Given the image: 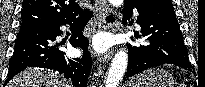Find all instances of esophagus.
Segmentation results:
<instances>
[{
  "instance_id": "obj_1",
  "label": "esophagus",
  "mask_w": 205,
  "mask_h": 87,
  "mask_svg": "<svg viewBox=\"0 0 205 87\" xmlns=\"http://www.w3.org/2000/svg\"><path fill=\"white\" fill-rule=\"evenodd\" d=\"M95 6H96V16L100 21V24L104 23L103 27L109 28L110 26L108 24H106V22L104 21V16L107 14L108 12V4L106 0H95ZM114 54V48H111L110 50H108L105 54H103L100 57V61L101 62H107L109 59L112 58Z\"/></svg>"
}]
</instances>
